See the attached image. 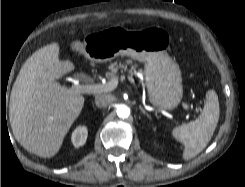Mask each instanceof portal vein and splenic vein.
Segmentation results:
<instances>
[{"mask_svg": "<svg viewBox=\"0 0 245 187\" xmlns=\"http://www.w3.org/2000/svg\"><path fill=\"white\" fill-rule=\"evenodd\" d=\"M121 81L125 80V76H121ZM128 81L135 85V80L132 76H127ZM119 83L118 78L110 80L106 84H95V85H79L77 83L73 84L71 89L79 93H101V92H110L114 90ZM183 108L186 111L193 110L192 107H189L187 104H183Z\"/></svg>", "mask_w": 245, "mask_h": 187, "instance_id": "1", "label": "portal vein and splenic vein"}]
</instances>
